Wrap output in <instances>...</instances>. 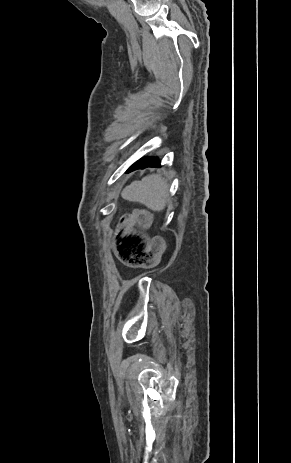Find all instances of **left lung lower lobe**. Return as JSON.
<instances>
[{
  "label": "left lung lower lobe",
  "mask_w": 291,
  "mask_h": 463,
  "mask_svg": "<svg viewBox=\"0 0 291 463\" xmlns=\"http://www.w3.org/2000/svg\"><path fill=\"white\" fill-rule=\"evenodd\" d=\"M155 166H159L158 159L154 158V157H146V158H142V159L138 160L137 162H135L128 169L127 172H130V171H133V170H136V169H144L146 167H155Z\"/></svg>",
  "instance_id": "1"
}]
</instances>
